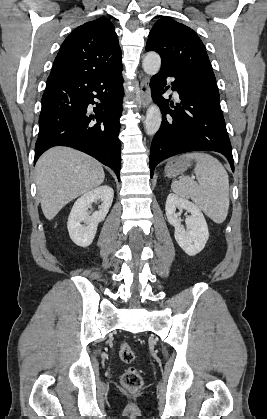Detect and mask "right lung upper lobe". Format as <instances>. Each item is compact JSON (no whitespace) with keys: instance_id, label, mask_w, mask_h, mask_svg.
<instances>
[{"instance_id":"right-lung-upper-lobe-1","label":"right lung upper lobe","mask_w":267,"mask_h":419,"mask_svg":"<svg viewBox=\"0 0 267 419\" xmlns=\"http://www.w3.org/2000/svg\"><path fill=\"white\" fill-rule=\"evenodd\" d=\"M120 65L121 49L114 26L99 18L77 27L65 39L50 76L108 71Z\"/></svg>"}]
</instances>
